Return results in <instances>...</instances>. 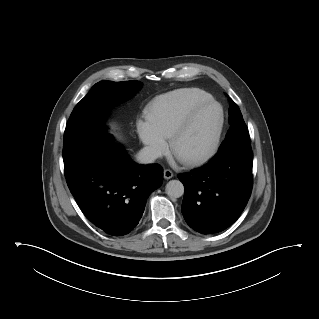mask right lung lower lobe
Returning <instances> with one entry per match:
<instances>
[{
	"instance_id": "1",
	"label": "right lung lower lobe",
	"mask_w": 319,
	"mask_h": 319,
	"mask_svg": "<svg viewBox=\"0 0 319 319\" xmlns=\"http://www.w3.org/2000/svg\"><path fill=\"white\" fill-rule=\"evenodd\" d=\"M64 167L83 214L111 236L128 234L136 227L148 195L163 181L159 164L134 163L109 135L91 139Z\"/></svg>"
}]
</instances>
